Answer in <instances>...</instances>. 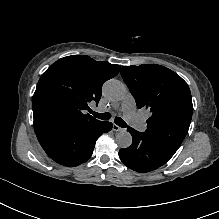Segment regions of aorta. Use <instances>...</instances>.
I'll list each match as a JSON object with an SVG mask.
<instances>
[{
	"instance_id": "aorta-1",
	"label": "aorta",
	"mask_w": 219,
	"mask_h": 219,
	"mask_svg": "<svg viewBox=\"0 0 219 219\" xmlns=\"http://www.w3.org/2000/svg\"><path fill=\"white\" fill-rule=\"evenodd\" d=\"M103 94L109 100L118 101L126 94V87L121 81L110 79L103 85ZM115 141L120 148H128L132 144V136L127 131H120Z\"/></svg>"
}]
</instances>
